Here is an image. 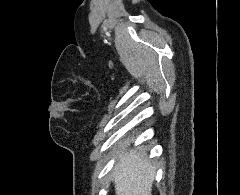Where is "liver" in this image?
<instances>
[{
    "label": "liver",
    "mask_w": 240,
    "mask_h": 195,
    "mask_svg": "<svg viewBox=\"0 0 240 195\" xmlns=\"http://www.w3.org/2000/svg\"><path fill=\"white\" fill-rule=\"evenodd\" d=\"M136 149L127 151L113 167L116 195H151L155 167L144 151L140 155Z\"/></svg>",
    "instance_id": "6515ba94"
}]
</instances>
